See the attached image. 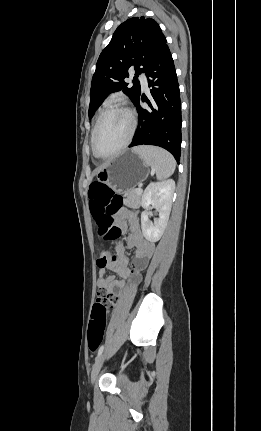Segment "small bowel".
<instances>
[{"instance_id":"obj_1","label":"small bowel","mask_w":261,"mask_h":431,"mask_svg":"<svg viewBox=\"0 0 261 431\" xmlns=\"http://www.w3.org/2000/svg\"><path fill=\"white\" fill-rule=\"evenodd\" d=\"M118 221L121 228L129 227V234L126 238V244L129 248L135 249L132 268L128 265V259L124 255L122 243L116 245V260H109L104 265H98L97 286L110 293L112 296L120 297L124 294L126 281L132 278L137 279L140 272L143 271L154 253V243L146 240L140 229L138 215L135 211L125 209L118 214ZM112 271L120 277L107 276L106 271ZM111 307V306H110ZM107 309V313L109 308Z\"/></svg>"}]
</instances>
